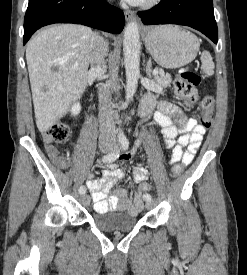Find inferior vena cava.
I'll use <instances>...</instances> for the list:
<instances>
[{"label":"inferior vena cava","instance_id":"inferior-vena-cava-1","mask_svg":"<svg viewBox=\"0 0 247 275\" xmlns=\"http://www.w3.org/2000/svg\"><path fill=\"white\" fill-rule=\"evenodd\" d=\"M107 42L97 33H93L90 41V73L102 77L106 72L105 55ZM110 89L107 85L99 89V142L101 145L115 146L116 130L111 110Z\"/></svg>","mask_w":247,"mask_h":275}]
</instances>
